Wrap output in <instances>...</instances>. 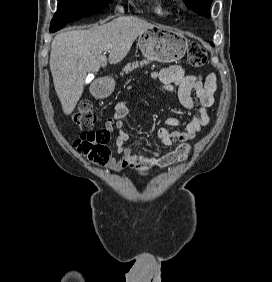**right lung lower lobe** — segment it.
<instances>
[{"label": "right lung lower lobe", "mask_w": 272, "mask_h": 282, "mask_svg": "<svg viewBox=\"0 0 272 282\" xmlns=\"http://www.w3.org/2000/svg\"><path fill=\"white\" fill-rule=\"evenodd\" d=\"M77 20H78V19H77ZM74 21H76V20H74ZM74 21H71V22H74ZM66 24H67V22L50 26V32H51V33L56 32V31L62 29Z\"/></svg>", "instance_id": "1"}]
</instances>
